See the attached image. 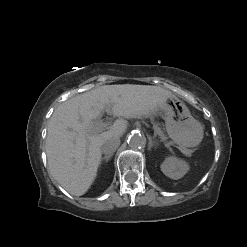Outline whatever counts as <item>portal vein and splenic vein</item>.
Instances as JSON below:
<instances>
[{
  "label": "portal vein and splenic vein",
  "mask_w": 247,
  "mask_h": 247,
  "mask_svg": "<svg viewBox=\"0 0 247 247\" xmlns=\"http://www.w3.org/2000/svg\"><path fill=\"white\" fill-rule=\"evenodd\" d=\"M116 122H118V121H116ZM115 122V123H116ZM108 126V123H103L102 121H97L96 123H95V130L96 131H101L103 128H106ZM161 141H165V139H163V138H161ZM166 145H171L170 143H168V144H166Z\"/></svg>",
  "instance_id": "portal-vein-and-splenic-vein-1"
}]
</instances>
